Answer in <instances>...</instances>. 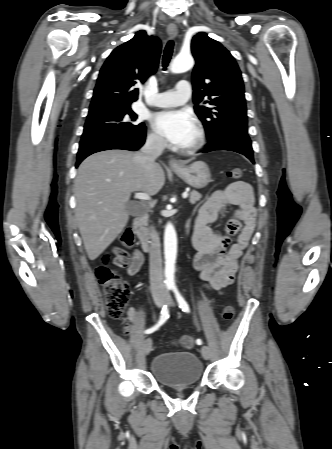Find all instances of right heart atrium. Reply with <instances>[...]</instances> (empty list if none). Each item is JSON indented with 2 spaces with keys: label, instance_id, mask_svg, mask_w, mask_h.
Instances as JSON below:
<instances>
[{
  "label": "right heart atrium",
  "instance_id": "right-heart-atrium-1",
  "mask_svg": "<svg viewBox=\"0 0 332 449\" xmlns=\"http://www.w3.org/2000/svg\"><path fill=\"white\" fill-rule=\"evenodd\" d=\"M147 142L155 148H163L165 146L164 139L155 131H150L147 135Z\"/></svg>",
  "mask_w": 332,
  "mask_h": 449
}]
</instances>
